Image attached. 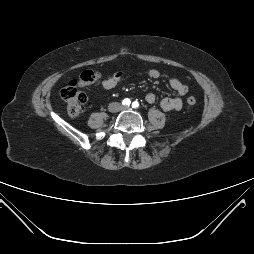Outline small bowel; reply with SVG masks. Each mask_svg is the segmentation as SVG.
Returning a JSON list of instances; mask_svg holds the SVG:
<instances>
[{"instance_id": "small-bowel-1", "label": "small bowel", "mask_w": 254, "mask_h": 254, "mask_svg": "<svg viewBox=\"0 0 254 254\" xmlns=\"http://www.w3.org/2000/svg\"><path fill=\"white\" fill-rule=\"evenodd\" d=\"M125 74L122 71H116L108 75L103 81V88L110 90L117 86V84L124 78ZM147 76L151 79H157L160 77V72L156 69H150L147 71ZM170 87L179 95L183 96L188 92V87L177 78H171L169 80ZM147 103H154L156 96L154 93H148L145 96ZM160 107L164 111L180 110L182 108V100L180 97H165L159 102Z\"/></svg>"}]
</instances>
